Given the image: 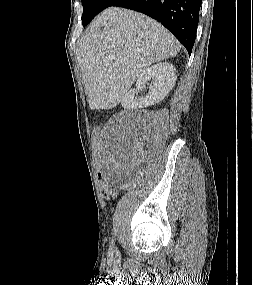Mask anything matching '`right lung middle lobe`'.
<instances>
[{
    "instance_id": "1",
    "label": "right lung middle lobe",
    "mask_w": 253,
    "mask_h": 285,
    "mask_svg": "<svg viewBox=\"0 0 253 285\" xmlns=\"http://www.w3.org/2000/svg\"><path fill=\"white\" fill-rule=\"evenodd\" d=\"M115 0H82L83 26H86L99 12L109 7Z\"/></svg>"
}]
</instances>
